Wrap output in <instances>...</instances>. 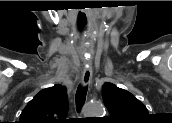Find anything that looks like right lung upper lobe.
Listing matches in <instances>:
<instances>
[{
    "instance_id": "1",
    "label": "right lung upper lobe",
    "mask_w": 172,
    "mask_h": 123,
    "mask_svg": "<svg viewBox=\"0 0 172 123\" xmlns=\"http://www.w3.org/2000/svg\"><path fill=\"white\" fill-rule=\"evenodd\" d=\"M67 109L66 88L55 85L35 95L22 111L20 123H64Z\"/></svg>"
}]
</instances>
